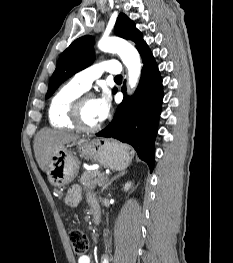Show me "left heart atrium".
I'll list each match as a JSON object with an SVG mask.
<instances>
[{
    "label": "left heart atrium",
    "mask_w": 233,
    "mask_h": 263,
    "mask_svg": "<svg viewBox=\"0 0 233 263\" xmlns=\"http://www.w3.org/2000/svg\"><path fill=\"white\" fill-rule=\"evenodd\" d=\"M110 107V96L107 91H103L100 96L95 99V114L99 123L108 116Z\"/></svg>",
    "instance_id": "39dd6f15"
}]
</instances>
